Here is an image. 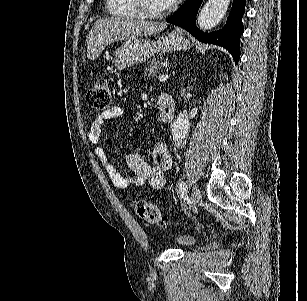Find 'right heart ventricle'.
<instances>
[{"label":"right heart ventricle","instance_id":"right-heart-ventricle-1","mask_svg":"<svg viewBox=\"0 0 307 301\" xmlns=\"http://www.w3.org/2000/svg\"><path fill=\"white\" fill-rule=\"evenodd\" d=\"M130 1L134 0H106L105 17H140V10L131 9Z\"/></svg>","mask_w":307,"mask_h":301}]
</instances>
